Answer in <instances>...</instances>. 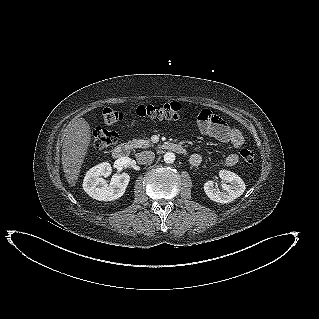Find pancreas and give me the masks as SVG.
<instances>
[{
    "label": "pancreas",
    "instance_id": "pancreas-1",
    "mask_svg": "<svg viewBox=\"0 0 319 319\" xmlns=\"http://www.w3.org/2000/svg\"><path fill=\"white\" fill-rule=\"evenodd\" d=\"M129 148H148L151 146L149 140L133 139L127 143Z\"/></svg>",
    "mask_w": 319,
    "mask_h": 319
}]
</instances>
